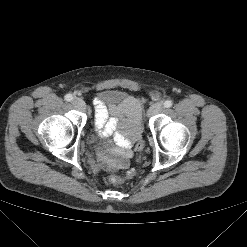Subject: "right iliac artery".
Here are the masks:
<instances>
[{"instance_id":"right-iliac-artery-1","label":"right iliac artery","mask_w":247,"mask_h":247,"mask_svg":"<svg viewBox=\"0 0 247 247\" xmlns=\"http://www.w3.org/2000/svg\"><path fill=\"white\" fill-rule=\"evenodd\" d=\"M65 100L66 101H71V100H73V96L71 94H66L65 95Z\"/></svg>"}]
</instances>
